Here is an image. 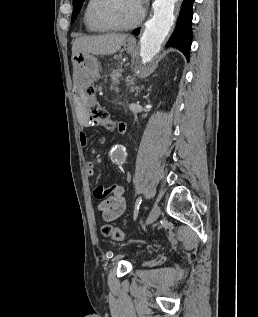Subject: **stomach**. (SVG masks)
Returning a JSON list of instances; mask_svg holds the SVG:
<instances>
[{
    "label": "stomach",
    "instance_id": "0dacf381",
    "mask_svg": "<svg viewBox=\"0 0 258 317\" xmlns=\"http://www.w3.org/2000/svg\"><path fill=\"white\" fill-rule=\"evenodd\" d=\"M134 38H127L124 42V48L127 52H134L135 50ZM73 64L76 72H87V74H98V60L91 52H76L72 56Z\"/></svg>",
    "mask_w": 258,
    "mask_h": 317
}]
</instances>
